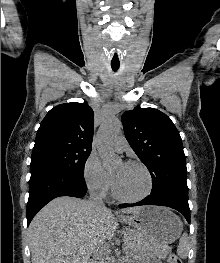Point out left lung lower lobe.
<instances>
[{
    "mask_svg": "<svg viewBox=\"0 0 220 263\" xmlns=\"http://www.w3.org/2000/svg\"><path fill=\"white\" fill-rule=\"evenodd\" d=\"M140 205H159L173 208L182 213L188 221V223H190V209L188 204V197H183L173 192H160L153 194L151 193L148 197L137 203L120 204L119 207L125 208Z\"/></svg>",
    "mask_w": 220,
    "mask_h": 263,
    "instance_id": "obj_1",
    "label": "left lung lower lobe"
}]
</instances>
